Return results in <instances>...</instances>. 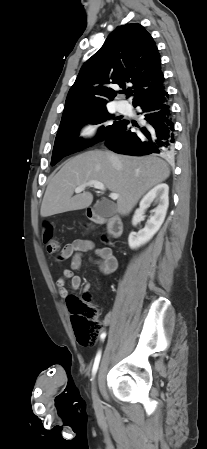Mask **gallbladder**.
Here are the masks:
<instances>
[{
	"mask_svg": "<svg viewBox=\"0 0 207 449\" xmlns=\"http://www.w3.org/2000/svg\"><path fill=\"white\" fill-rule=\"evenodd\" d=\"M95 211L105 217H110L115 213V206L106 201H99L94 206Z\"/></svg>",
	"mask_w": 207,
	"mask_h": 449,
	"instance_id": "bac80fb5",
	"label": "gallbladder"
}]
</instances>
